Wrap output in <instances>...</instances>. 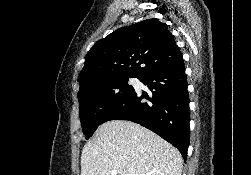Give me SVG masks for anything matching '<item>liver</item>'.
<instances>
[{
	"label": "liver",
	"mask_w": 251,
	"mask_h": 175,
	"mask_svg": "<svg viewBox=\"0 0 251 175\" xmlns=\"http://www.w3.org/2000/svg\"><path fill=\"white\" fill-rule=\"evenodd\" d=\"M183 159L171 143L133 121L112 119L99 125L82 149L81 175L122 173L181 175Z\"/></svg>",
	"instance_id": "6515ba94"
}]
</instances>
